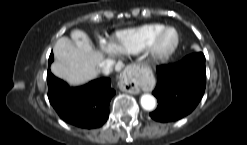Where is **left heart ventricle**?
Returning <instances> with one entry per match:
<instances>
[{"mask_svg":"<svg viewBox=\"0 0 247 145\" xmlns=\"http://www.w3.org/2000/svg\"><path fill=\"white\" fill-rule=\"evenodd\" d=\"M175 40V35L172 31L165 32L159 40V48L162 50L170 48Z\"/></svg>","mask_w":247,"mask_h":145,"instance_id":"b2bd125f","label":"left heart ventricle"}]
</instances>
